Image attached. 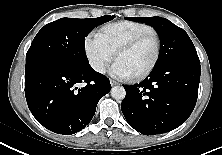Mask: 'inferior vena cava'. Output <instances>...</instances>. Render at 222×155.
<instances>
[{"instance_id": "602c4592", "label": "inferior vena cava", "mask_w": 222, "mask_h": 155, "mask_svg": "<svg viewBox=\"0 0 222 155\" xmlns=\"http://www.w3.org/2000/svg\"><path fill=\"white\" fill-rule=\"evenodd\" d=\"M94 69L100 73H105V67L102 62H98L94 65Z\"/></svg>"}]
</instances>
